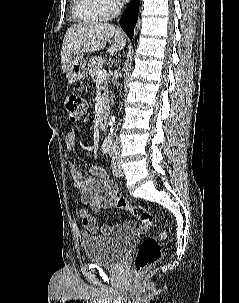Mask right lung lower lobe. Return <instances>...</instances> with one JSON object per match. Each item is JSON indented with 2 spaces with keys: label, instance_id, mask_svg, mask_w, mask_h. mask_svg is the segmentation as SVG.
Returning a JSON list of instances; mask_svg holds the SVG:
<instances>
[{
  "label": "right lung lower lobe",
  "instance_id": "obj_1",
  "mask_svg": "<svg viewBox=\"0 0 239 303\" xmlns=\"http://www.w3.org/2000/svg\"><path fill=\"white\" fill-rule=\"evenodd\" d=\"M139 1L140 0H132L120 19V26L130 39L133 38L134 27L138 19Z\"/></svg>",
  "mask_w": 239,
  "mask_h": 303
}]
</instances>
